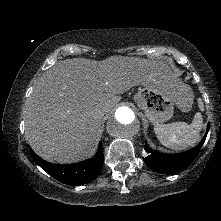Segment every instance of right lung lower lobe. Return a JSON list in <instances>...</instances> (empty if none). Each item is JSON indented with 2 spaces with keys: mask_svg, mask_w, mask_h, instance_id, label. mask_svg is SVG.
I'll return each mask as SVG.
<instances>
[{
  "mask_svg": "<svg viewBox=\"0 0 221 221\" xmlns=\"http://www.w3.org/2000/svg\"><path fill=\"white\" fill-rule=\"evenodd\" d=\"M30 152L42 169L58 181L68 185H82L94 180L100 173L104 162L101 142L98 152L92 159L67 165L48 163L39 158L31 149Z\"/></svg>",
  "mask_w": 221,
  "mask_h": 221,
  "instance_id": "1",
  "label": "right lung lower lobe"
}]
</instances>
